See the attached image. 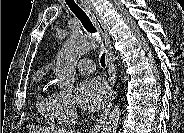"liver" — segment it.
<instances>
[{"instance_id": "obj_1", "label": "liver", "mask_w": 184, "mask_h": 133, "mask_svg": "<svg viewBox=\"0 0 184 133\" xmlns=\"http://www.w3.org/2000/svg\"><path fill=\"white\" fill-rule=\"evenodd\" d=\"M32 133H72V131L63 128H40L33 129Z\"/></svg>"}]
</instances>
